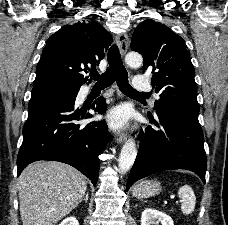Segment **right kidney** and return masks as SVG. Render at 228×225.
Here are the masks:
<instances>
[{"instance_id": "1", "label": "right kidney", "mask_w": 228, "mask_h": 225, "mask_svg": "<svg viewBox=\"0 0 228 225\" xmlns=\"http://www.w3.org/2000/svg\"><path fill=\"white\" fill-rule=\"evenodd\" d=\"M60 225H79V223L75 217H67V219H64Z\"/></svg>"}]
</instances>
